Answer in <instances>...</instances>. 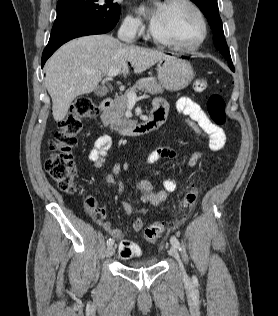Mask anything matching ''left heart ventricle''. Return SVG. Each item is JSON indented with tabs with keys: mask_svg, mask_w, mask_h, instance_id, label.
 Returning a JSON list of instances; mask_svg holds the SVG:
<instances>
[{
	"mask_svg": "<svg viewBox=\"0 0 278 316\" xmlns=\"http://www.w3.org/2000/svg\"><path fill=\"white\" fill-rule=\"evenodd\" d=\"M152 29L158 38L177 45H190L200 34L196 15L183 4H164Z\"/></svg>",
	"mask_w": 278,
	"mask_h": 316,
	"instance_id": "b2bd125f",
	"label": "left heart ventricle"
}]
</instances>
